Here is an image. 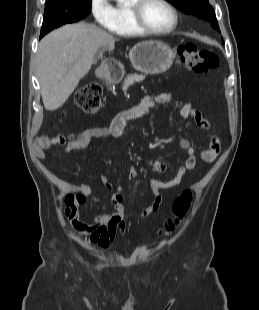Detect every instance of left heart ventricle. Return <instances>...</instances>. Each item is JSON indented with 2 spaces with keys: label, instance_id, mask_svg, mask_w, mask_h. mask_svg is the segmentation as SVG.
<instances>
[{
  "label": "left heart ventricle",
  "instance_id": "1",
  "mask_svg": "<svg viewBox=\"0 0 259 310\" xmlns=\"http://www.w3.org/2000/svg\"><path fill=\"white\" fill-rule=\"evenodd\" d=\"M145 23L155 30H165L173 23L171 11L160 1L150 0L144 7Z\"/></svg>",
  "mask_w": 259,
  "mask_h": 310
}]
</instances>
